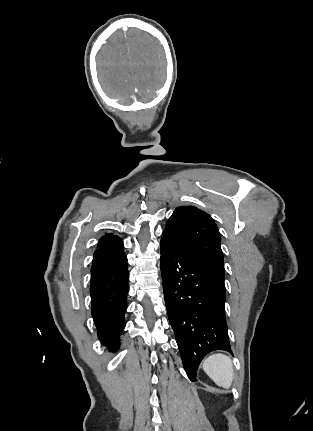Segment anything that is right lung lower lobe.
<instances>
[{"mask_svg":"<svg viewBox=\"0 0 313 431\" xmlns=\"http://www.w3.org/2000/svg\"><path fill=\"white\" fill-rule=\"evenodd\" d=\"M123 248L120 238L99 247L91 268L92 317L98 338L109 351L119 348L125 328L129 272Z\"/></svg>","mask_w":313,"mask_h":431,"instance_id":"1","label":"right lung lower lobe"}]
</instances>
